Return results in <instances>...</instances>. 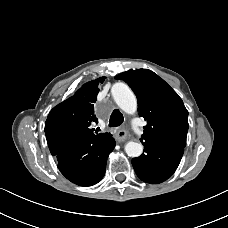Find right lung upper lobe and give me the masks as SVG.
<instances>
[{
  "mask_svg": "<svg viewBox=\"0 0 228 228\" xmlns=\"http://www.w3.org/2000/svg\"><path fill=\"white\" fill-rule=\"evenodd\" d=\"M106 77H100L84 84L74 96L54 107L45 123V134L49 146L62 144L81 136L104 137L110 133L93 132V123L98 120L94 114V103L100 86Z\"/></svg>",
  "mask_w": 228,
  "mask_h": 228,
  "instance_id": "1",
  "label": "right lung upper lobe"
}]
</instances>
